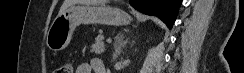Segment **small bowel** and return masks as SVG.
Returning a JSON list of instances; mask_svg holds the SVG:
<instances>
[{
    "instance_id": "1",
    "label": "small bowel",
    "mask_w": 244,
    "mask_h": 73,
    "mask_svg": "<svg viewBox=\"0 0 244 73\" xmlns=\"http://www.w3.org/2000/svg\"><path fill=\"white\" fill-rule=\"evenodd\" d=\"M76 73H108L105 65L100 59H92L89 62L81 63Z\"/></svg>"
}]
</instances>
